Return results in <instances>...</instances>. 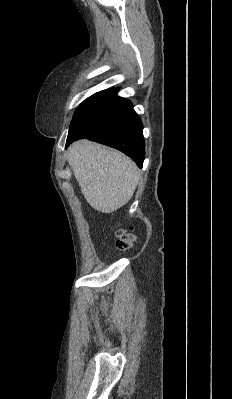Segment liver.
<instances>
[{
    "instance_id": "1",
    "label": "liver",
    "mask_w": 232,
    "mask_h": 399,
    "mask_svg": "<svg viewBox=\"0 0 232 399\" xmlns=\"http://www.w3.org/2000/svg\"><path fill=\"white\" fill-rule=\"evenodd\" d=\"M68 162L85 200L94 209L110 213L131 200L140 174L125 154L80 140L70 146Z\"/></svg>"
}]
</instances>
